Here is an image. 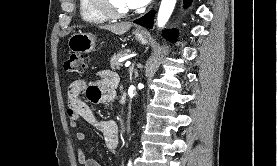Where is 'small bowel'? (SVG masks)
<instances>
[{
  "label": "small bowel",
  "mask_w": 277,
  "mask_h": 166,
  "mask_svg": "<svg viewBox=\"0 0 277 166\" xmlns=\"http://www.w3.org/2000/svg\"><path fill=\"white\" fill-rule=\"evenodd\" d=\"M119 76L104 70L98 74L95 81L89 83L84 80L73 81L68 88V118L70 127L76 129L81 119L97 127L103 134L106 147L115 153L120 141V131L113 120L99 118L93 111L91 104H108L115 100ZM76 139L83 142L87 139L84 131L76 133ZM78 162L82 166H101L96 160L89 158L82 147L78 148Z\"/></svg>",
  "instance_id": "small-bowel-1"
}]
</instances>
